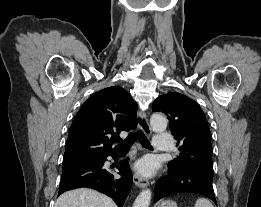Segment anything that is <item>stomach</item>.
Segmentation results:
<instances>
[{
	"mask_svg": "<svg viewBox=\"0 0 261 207\" xmlns=\"http://www.w3.org/2000/svg\"><path fill=\"white\" fill-rule=\"evenodd\" d=\"M157 207H178L176 202L171 201V200H164L161 201Z\"/></svg>",
	"mask_w": 261,
	"mask_h": 207,
	"instance_id": "stomach-1",
	"label": "stomach"
}]
</instances>
